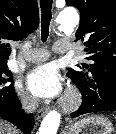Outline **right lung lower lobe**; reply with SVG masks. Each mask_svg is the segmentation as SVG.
Returning <instances> with one entry per match:
<instances>
[{
    "instance_id": "right-lung-lower-lobe-1",
    "label": "right lung lower lobe",
    "mask_w": 116,
    "mask_h": 134,
    "mask_svg": "<svg viewBox=\"0 0 116 134\" xmlns=\"http://www.w3.org/2000/svg\"><path fill=\"white\" fill-rule=\"evenodd\" d=\"M0 118L11 122L25 134H30L34 127L33 115L23 112L17 97L11 103L0 104Z\"/></svg>"
}]
</instances>
